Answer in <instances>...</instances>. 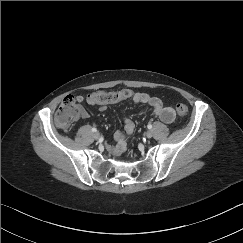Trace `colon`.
Here are the masks:
<instances>
[{"instance_id":"5ec220e1","label":"colon","mask_w":243,"mask_h":243,"mask_svg":"<svg viewBox=\"0 0 243 243\" xmlns=\"http://www.w3.org/2000/svg\"><path fill=\"white\" fill-rule=\"evenodd\" d=\"M130 95L128 90L104 92L99 91L91 95V98L101 103H113L122 101ZM179 116L186 117L188 115V107L179 103L176 106ZM80 114V104L78 99L73 96H67L63 99L55 114V123L57 127L63 130H69Z\"/></svg>"}]
</instances>
